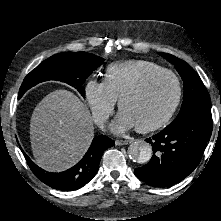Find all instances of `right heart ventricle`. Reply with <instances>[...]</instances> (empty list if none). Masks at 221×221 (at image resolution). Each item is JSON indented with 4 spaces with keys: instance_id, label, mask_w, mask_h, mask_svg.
<instances>
[{
    "instance_id": "e07e8e85",
    "label": "right heart ventricle",
    "mask_w": 221,
    "mask_h": 221,
    "mask_svg": "<svg viewBox=\"0 0 221 221\" xmlns=\"http://www.w3.org/2000/svg\"><path fill=\"white\" fill-rule=\"evenodd\" d=\"M164 69L148 60H125L108 65L104 72V82L113 96H119L142 77L153 71Z\"/></svg>"
}]
</instances>
